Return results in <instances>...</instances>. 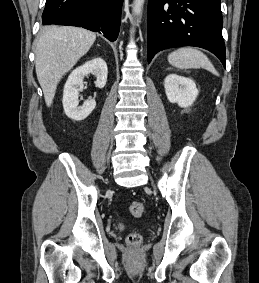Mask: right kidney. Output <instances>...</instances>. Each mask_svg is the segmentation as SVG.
<instances>
[{
    "label": "right kidney",
    "mask_w": 259,
    "mask_h": 283,
    "mask_svg": "<svg viewBox=\"0 0 259 283\" xmlns=\"http://www.w3.org/2000/svg\"><path fill=\"white\" fill-rule=\"evenodd\" d=\"M88 74L96 77L95 85L103 88L107 82L108 69L106 62L101 58L92 59L77 67L69 75L63 91V108L65 114L74 121L84 120L95 108L96 101L89 98L79 106V90L83 86V79Z\"/></svg>",
    "instance_id": "1"
}]
</instances>
